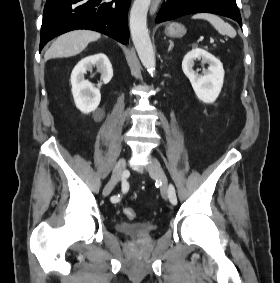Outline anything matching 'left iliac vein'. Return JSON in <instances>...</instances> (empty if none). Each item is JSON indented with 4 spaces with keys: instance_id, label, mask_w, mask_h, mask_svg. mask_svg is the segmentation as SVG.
Listing matches in <instances>:
<instances>
[{
    "instance_id": "left-iliac-vein-1",
    "label": "left iliac vein",
    "mask_w": 280,
    "mask_h": 283,
    "mask_svg": "<svg viewBox=\"0 0 280 283\" xmlns=\"http://www.w3.org/2000/svg\"><path fill=\"white\" fill-rule=\"evenodd\" d=\"M151 163L148 165L147 170L152 177L158 179L161 183L160 192L164 199L168 198V179L167 176L158 162L157 159L150 157Z\"/></svg>"
}]
</instances>
